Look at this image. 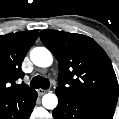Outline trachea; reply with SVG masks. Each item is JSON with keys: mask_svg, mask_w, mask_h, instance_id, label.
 I'll return each instance as SVG.
<instances>
[{"mask_svg": "<svg viewBox=\"0 0 119 119\" xmlns=\"http://www.w3.org/2000/svg\"><path fill=\"white\" fill-rule=\"evenodd\" d=\"M30 86L32 88L38 89H48L50 87V82L47 78H44L42 76H35L31 82H30Z\"/></svg>", "mask_w": 119, "mask_h": 119, "instance_id": "trachea-1", "label": "trachea"}]
</instances>
